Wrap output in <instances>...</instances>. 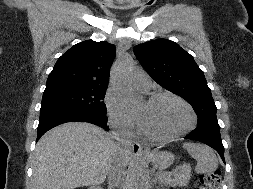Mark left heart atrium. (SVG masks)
I'll use <instances>...</instances> for the list:
<instances>
[{"label": "left heart atrium", "instance_id": "left-heart-atrium-1", "mask_svg": "<svg viewBox=\"0 0 253 189\" xmlns=\"http://www.w3.org/2000/svg\"><path fill=\"white\" fill-rule=\"evenodd\" d=\"M137 122H138V124L140 125V123H141V117H140V116H138Z\"/></svg>", "mask_w": 253, "mask_h": 189}]
</instances>
